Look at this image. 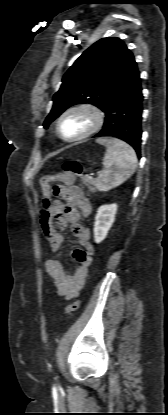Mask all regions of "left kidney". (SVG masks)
Listing matches in <instances>:
<instances>
[{
	"instance_id": "obj_1",
	"label": "left kidney",
	"mask_w": 168,
	"mask_h": 415,
	"mask_svg": "<svg viewBox=\"0 0 168 415\" xmlns=\"http://www.w3.org/2000/svg\"><path fill=\"white\" fill-rule=\"evenodd\" d=\"M117 212L116 204L102 205L99 207L94 223V240L96 243L102 242L115 220Z\"/></svg>"
}]
</instances>
